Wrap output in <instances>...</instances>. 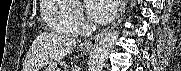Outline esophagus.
Returning <instances> with one entry per match:
<instances>
[{
    "instance_id": "obj_1",
    "label": "esophagus",
    "mask_w": 181,
    "mask_h": 71,
    "mask_svg": "<svg viewBox=\"0 0 181 71\" xmlns=\"http://www.w3.org/2000/svg\"><path fill=\"white\" fill-rule=\"evenodd\" d=\"M126 4H127V1H124L123 6H121L116 18L111 24H109L105 29H103L99 34L87 39L84 42V45L86 47H89V48L95 47L98 44V42L105 36V34L111 31L115 26H117V24L122 20L124 16Z\"/></svg>"
}]
</instances>
